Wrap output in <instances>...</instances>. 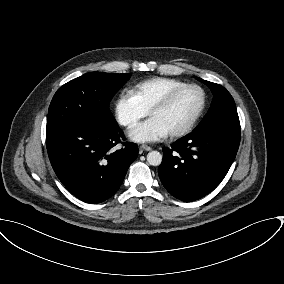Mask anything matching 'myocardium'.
<instances>
[{"mask_svg": "<svg viewBox=\"0 0 284 284\" xmlns=\"http://www.w3.org/2000/svg\"><path fill=\"white\" fill-rule=\"evenodd\" d=\"M191 88L199 90L201 95H202V101H201L200 107L198 108V110L196 111V113L194 114L192 119L185 126H183L182 128H180L178 130L167 133V135L171 138H179V137L185 136L188 133H190L193 130V128L196 126L197 122L199 121V119L203 115V112H204V110L206 108V104H207V93H206L205 89L202 86L195 84V83H188V84L182 85V86L172 90L170 93H168L164 98H162L159 102H157L150 109V115H152L154 112L166 108L175 100V98L181 92H183L187 89H191Z\"/></svg>", "mask_w": 284, "mask_h": 284, "instance_id": "obj_1", "label": "myocardium"}]
</instances>
